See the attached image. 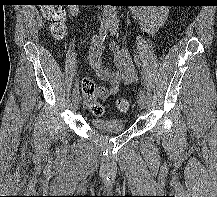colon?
Masks as SVG:
<instances>
[{
    "instance_id": "obj_1",
    "label": "colon",
    "mask_w": 217,
    "mask_h": 197,
    "mask_svg": "<svg viewBox=\"0 0 217 197\" xmlns=\"http://www.w3.org/2000/svg\"><path fill=\"white\" fill-rule=\"evenodd\" d=\"M41 2L43 15L51 22V35L57 40L62 39L66 34V11L63 4L59 0H41ZM81 89L90 111L96 116H102L104 109L98 100L106 96V88L85 78L82 80ZM116 106L119 111L126 112L130 109V102L126 99H119Z\"/></svg>"
}]
</instances>
